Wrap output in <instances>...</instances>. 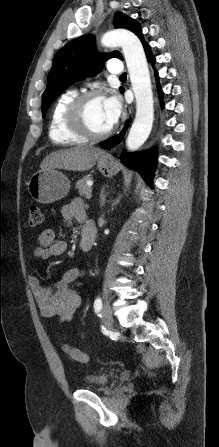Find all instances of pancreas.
Masks as SVG:
<instances>
[{"label":"pancreas","mask_w":219,"mask_h":447,"mask_svg":"<svg viewBox=\"0 0 219 447\" xmlns=\"http://www.w3.org/2000/svg\"><path fill=\"white\" fill-rule=\"evenodd\" d=\"M91 180V177L85 176L82 179H79L76 182V189L81 196H86L88 193H91L92 189L87 185V181Z\"/></svg>","instance_id":"1"}]
</instances>
